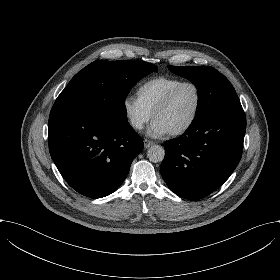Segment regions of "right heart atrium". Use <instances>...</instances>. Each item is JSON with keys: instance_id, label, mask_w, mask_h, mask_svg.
<instances>
[{"instance_id": "1", "label": "right heart atrium", "mask_w": 280, "mask_h": 280, "mask_svg": "<svg viewBox=\"0 0 280 280\" xmlns=\"http://www.w3.org/2000/svg\"><path fill=\"white\" fill-rule=\"evenodd\" d=\"M122 108L126 121L136 132L142 131L153 116V113L136 97H126L123 100Z\"/></svg>"}]
</instances>
